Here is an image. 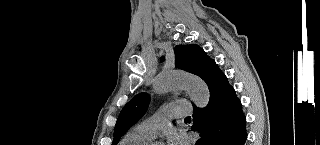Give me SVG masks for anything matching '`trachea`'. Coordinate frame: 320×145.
Wrapping results in <instances>:
<instances>
[{"instance_id":"obj_1","label":"trachea","mask_w":320,"mask_h":145,"mask_svg":"<svg viewBox=\"0 0 320 145\" xmlns=\"http://www.w3.org/2000/svg\"><path fill=\"white\" fill-rule=\"evenodd\" d=\"M185 119H191V117H190V116H188V117H186Z\"/></svg>"}]
</instances>
